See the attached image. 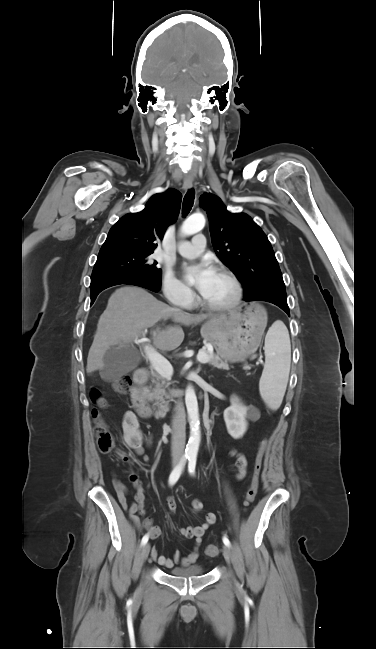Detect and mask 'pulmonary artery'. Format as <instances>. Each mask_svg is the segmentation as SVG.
<instances>
[{
  "instance_id": "pulmonary-artery-1",
  "label": "pulmonary artery",
  "mask_w": 376,
  "mask_h": 649,
  "mask_svg": "<svg viewBox=\"0 0 376 649\" xmlns=\"http://www.w3.org/2000/svg\"><path fill=\"white\" fill-rule=\"evenodd\" d=\"M206 246V239L202 233L194 236L192 241H181L177 244V252L184 257H195L200 254Z\"/></svg>"
}]
</instances>
